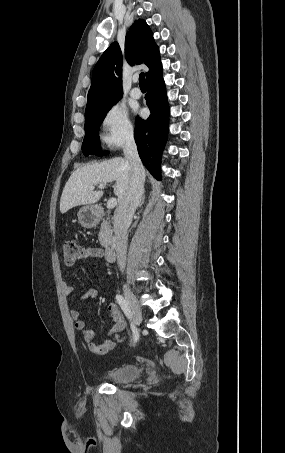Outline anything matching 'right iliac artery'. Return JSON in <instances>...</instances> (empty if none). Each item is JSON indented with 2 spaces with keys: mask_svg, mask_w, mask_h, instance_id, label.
<instances>
[{
  "mask_svg": "<svg viewBox=\"0 0 285 453\" xmlns=\"http://www.w3.org/2000/svg\"><path fill=\"white\" fill-rule=\"evenodd\" d=\"M116 300H117L118 304L120 305L121 309L123 310L124 314L126 315V317L131 321V312H130L126 299L122 295L118 294V295H116ZM130 326H131V330L133 333V341L135 343L139 339V334H138L136 327L134 326V324L132 322H131Z\"/></svg>",
  "mask_w": 285,
  "mask_h": 453,
  "instance_id": "82829eb1",
  "label": "right iliac artery"
}]
</instances>
